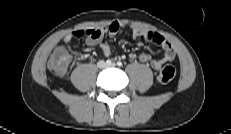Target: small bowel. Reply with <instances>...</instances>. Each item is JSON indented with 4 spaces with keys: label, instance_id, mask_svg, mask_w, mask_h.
Instances as JSON below:
<instances>
[{
    "label": "small bowel",
    "instance_id": "c3829d8e",
    "mask_svg": "<svg viewBox=\"0 0 231 134\" xmlns=\"http://www.w3.org/2000/svg\"><path fill=\"white\" fill-rule=\"evenodd\" d=\"M119 29V22L114 21L110 23L108 26L99 29L73 31L64 37V41L70 42L73 39L86 36V45L89 47H93L101 42L104 35L107 34L110 37L117 35ZM133 35L134 37L139 38L140 40H144L159 45L162 48V55L158 59H153L150 53H131L129 54V58L131 60H139L144 63H149L153 69L159 70L163 64L171 62L175 59L176 53L172 45L161 35L155 32L142 31L139 29H134ZM101 49L105 56L110 55V49L107 45H102Z\"/></svg>",
    "mask_w": 231,
    "mask_h": 134
}]
</instances>
